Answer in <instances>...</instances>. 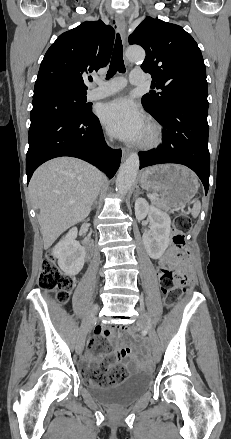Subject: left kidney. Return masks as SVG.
I'll use <instances>...</instances> for the list:
<instances>
[{"label": "left kidney", "mask_w": 231, "mask_h": 439, "mask_svg": "<svg viewBox=\"0 0 231 439\" xmlns=\"http://www.w3.org/2000/svg\"><path fill=\"white\" fill-rule=\"evenodd\" d=\"M148 215L150 231L143 233L142 240L148 255L152 259H159L170 242L171 219L169 215L153 205H149L144 198L135 201V216L138 220Z\"/></svg>", "instance_id": "obj_1"}]
</instances>
